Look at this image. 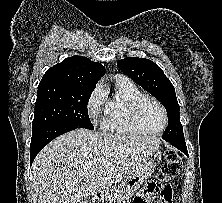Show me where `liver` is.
Returning a JSON list of instances; mask_svg holds the SVG:
<instances>
[{
    "instance_id": "obj_1",
    "label": "liver",
    "mask_w": 222,
    "mask_h": 203,
    "mask_svg": "<svg viewBox=\"0 0 222 203\" xmlns=\"http://www.w3.org/2000/svg\"><path fill=\"white\" fill-rule=\"evenodd\" d=\"M160 140L132 134L76 129L36 156L33 183L38 203H81L98 192L111 197L158 150ZM114 184V185H113Z\"/></svg>"
}]
</instances>
